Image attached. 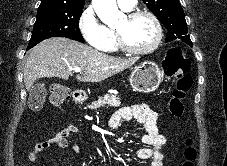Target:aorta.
<instances>
[{
	"instance_id": "aorta-1",
	"label": "aorta",
	"mask_w": 227,
	"mask_h": 166,
	"mask_svg": "<svg viewBox=\"0 0 227 166\" xmlns=\"http://www.w3.org/2000/svg\"><path fill=\"white\" fill-rule=\"evenodd\" d=\"M92 5L100 20L108 26L114 25L125 17L117 8L116 0H92Z\"/></svg>"
}]
</instances>
